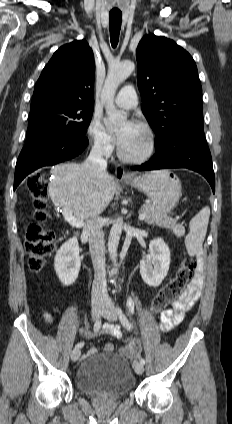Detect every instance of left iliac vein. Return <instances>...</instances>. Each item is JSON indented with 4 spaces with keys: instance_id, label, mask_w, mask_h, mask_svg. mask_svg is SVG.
<instances>
[{
    "instance_id": "1",
    "label": "left iliac vein",
    "mask_w": 232,
    "mask_h": 424,
    "mask_svg": "<svg viewBox=\"0 0 232 424\" xmlns=\"http://www.w3.org/2000/svg\"><path fill=\"white\" fill-rule=\"evenodd\" d=\"M102 316L104 318H106L109 321H114L117 319L118 317V311L117 309L114 307V305L112 304V302L110 300H108L105 305H104V309L102 312ZM133 368L134 371L138 374L141 375L144 371V366L141 362L135 361L133 363Z\"/></svg>"
}]
</instances>
